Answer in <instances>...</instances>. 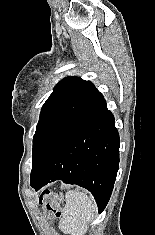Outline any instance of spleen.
<instances>
[{"instance_id": "obj_1", "label": "spleen", "mask_w": 155, "mask_h": 235, "mask_svg": "<svg viewBox=\"0 0 155 235\" xmlns=\"http://www.w3.org/2000/svg\"><path fill=\"white\" fill-rule=\"evenodd\" d=\"M97 212L95 200L84 192L69 191L62 212L60 228L72 235H85Z\"/></svg>"}]
</instances>
